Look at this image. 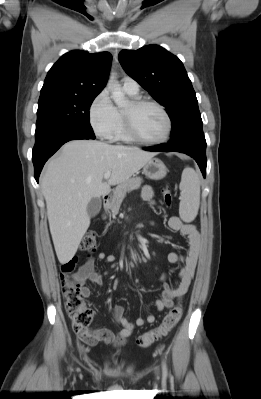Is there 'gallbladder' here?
Returning <instances> with one entry per match:
<instances>
[{
	"instance_id": "1",
	"label": "gallbladder",
	"mask_w": 261,
	"mask_h": 399,
	"mask_svg": "<svg viewBox=\"0 0 261 399\" xmlns=\"http://www.w3.org/2000/svg\"><path fill=\"white\" fill-rule=\"evenodd\" d=\"M101 209V199L98 197L92 198L87 205V213L90 217L96 216Z\"/></svg>"
}]
</instances>
